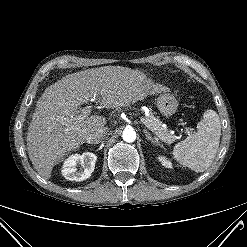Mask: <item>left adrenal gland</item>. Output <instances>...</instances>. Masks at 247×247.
I'll return each mask as SVG.
<instances>
[{
  "label": "left adrenal gland",
  "instance_id": "1",
  "mask_svg": "<svg viewBox=\"0 0 247 247\" xmlns=\"http://www.w3.org/2000/svg\"><path fill=\"white\" fill-rule=\"evenodd\" d=\"M144 133H145L146 139L148 141H150L151 143H153L154 146H158V143L153 139V137L151 136V134L147 130H144Z\"/></svg>",
  "mask_w": 247,
  "mask_h": 247
}]
</instances>
